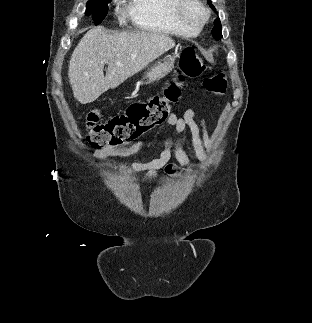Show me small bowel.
<instances>
[{
  "label": "small bowel",
  "instance_id": "obj_1",
  "mask_svg": "<svg viewBox=\"0 0 312 323\" xmlns=\"http://www.w3.org/2000/svg\"><path fill=\"white\" fill-rule=\"evenodd\" d=\"M167 124L175 131L178 137L177 140L173 142L171 139H166L164 149L159 153L158 157L146 162L132 163L127 168L128 174L144 172L146 179H154L160 170L168 165L173 156L184 170L189 171L191 169V160L181 144V136L185 131L189 133L191 147L196 159L201 163L205 162L211 150V140L205 118L195 109H188L181 116L170 112L167 117ZM142 146V141H136L123 148H105L97 151L96 157L104 159L116 155H133Z\"/></svg>",
  "mask_w": 312,
  "mask_h": 323
}]
</instances>
